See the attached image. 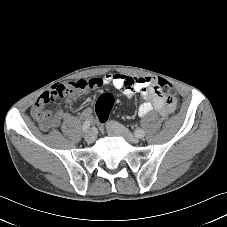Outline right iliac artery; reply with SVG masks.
<instances>
[{"label": "right iliac artery", "instance_id": "1", "mask_svg": "<svg viewBox=\"0 0 227 227\" xmlns=\"http://www.w3.org/2000/svg\"><path fill=\"white\" fill-rule=\"evenodd\" d=\"M91 126V121L90 120H86L83 124V127H82V131L83 132H87V130L90 128Z\"/></svg>", "mask_w": 227, "mask_h": 227}]
</instances>
